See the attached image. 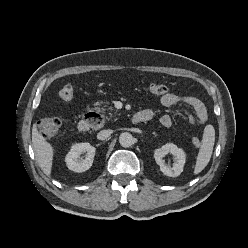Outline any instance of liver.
<instances>
[{
	"label": "liver",
	"instance_id": "6515ba94",
	"mask_svg": "<svg viewBox=\"0 0 248 248\" xmlns=\"http://www.w3.org/2000/svg\"><path fill=\"white\" fill-rule=\"evenodd\" d=\"M32 144L39 167L42 169L44 174L50 176L54 150L52 145L48 143L43 135L38 131L36 124H34L32 128Z\"/></svg>",
	"mask_w": 248,
	"mask_h": 248
}]
</instances>
